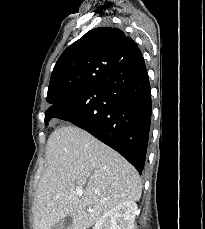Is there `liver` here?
Masks as SVG:
<instances>
[{"label": "liver", "instance_id": "1", "mask_svg": "<svg viewBox=\"0 0 205 229\" xmlns=\"http://www.w3.org/2000/svg\"><path fill=\"white\" fill-rule=\"evenodd\" d=\"M141 193L139 174L125 158L88 132L62 126L47 141L34 228L51 229L71 215L70 229H88L118 204L138 201Z\"/></svg>", "mask_w": 205, "mask_h": 229}]
</instances>
